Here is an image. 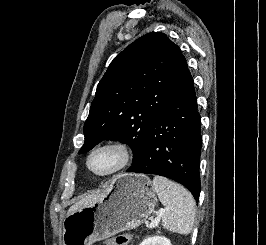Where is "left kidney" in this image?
<instances>
[{
    "label": "left kidney",
    "instance_id": "obj_1",
    "mask_svg": "<svg viewBox=\"0 0 266 245\" xmlns=\"http://www.w3.org/2000/svg\"><path fill=\"white\" fill-rule=\"evenodd\" d=\"M140 245H171V241L166 237H146Z\"/></svg>",
    "mask_w": 266,
    "mask_h": 245
}]
</instances>
